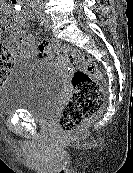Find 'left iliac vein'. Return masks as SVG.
Returning a JSON list of instances; mask_svg holds the SVG:
<instances>
[{
  "label": "left iliac vein",
  "instance_id": "obj_1",
  "mask_svg": "<svg viewBox=\"0 0 133 173\" xmlns=\"http://www.w3.org/2000/svg\"><path fill=\"white\" fill-rule=\"evenodd\" d=\"M43 16H44V27H45L46 30H49L50 27H51L50 19L48 17H45L44 14H43Z\"/></svg>",
  "mask_w": 133,
  "mask_h": 173
}]
</instances>
